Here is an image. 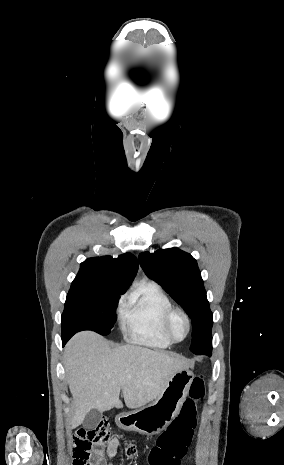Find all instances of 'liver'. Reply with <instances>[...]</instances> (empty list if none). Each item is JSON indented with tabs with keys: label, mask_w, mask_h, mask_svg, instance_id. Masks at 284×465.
<instances>
[{
	"label": "liver",
	"mask_w": 284,
	"mask_h": 465,
	"mask_svg": "<svg viewBox=\"0 0 284 465\" xmlns=\"http://www.w3.org/2000/svg\"><path fill=\"white\" fill-rule=\"evenodd\" d=\"M68 385L74 399V413L68 427L76 429L91 409L100 413L123 407L140 409L155 401L172 375L188 369L186 359L166 351H151L137 345L111 349L97 333L83 331L72 337L64 353Z\"/></svg>",
	"instance_id": "liver-1"
}]
</instances>
